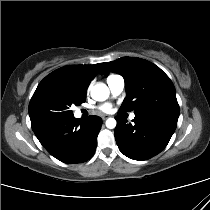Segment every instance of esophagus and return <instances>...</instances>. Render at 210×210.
<instances>
[{
  "label": "esophagus",
  "mask_w": 210,
  "mask_h": 210,
  "mask_svg": "<svg viewBox=\"0 0 210 210\" xmlns=\"http://www.w3.org/2000/svg\"><path fill=\"white\" fill-rule=\"evenodd\" d=\"M107 118H109V115H102L103 120H106Z\"/></svg>",
  "instance_id": "34e87169"
}]
</instances>
